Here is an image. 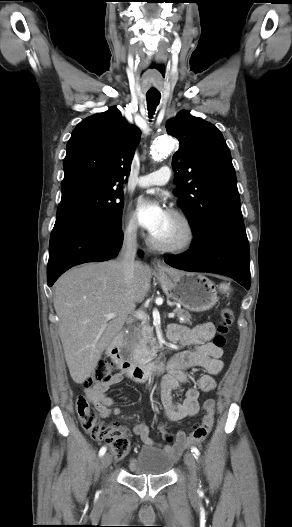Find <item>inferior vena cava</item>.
<instances>
[{
  "label": "inferior vena cava",
  "mask_w": 292,
  "mask_h": 527,
  "mask_svg": "<svg viewBox=\"0 0 292 527\" xmlns=\"http://www.w3.org/2000/svg\"><path fill=\"white\" fill-rule=\"evenodd\" d=\"M137 253V228L129 227L124 233L123 245L119 255L126 283L130 284L134 276L135 257Z\"/></svg>",
  "instance_id": "inferior-vena-cava-1"
}]
</instances>
